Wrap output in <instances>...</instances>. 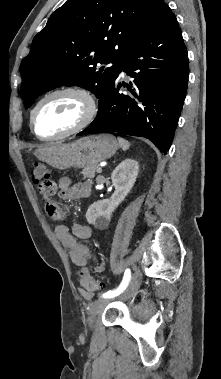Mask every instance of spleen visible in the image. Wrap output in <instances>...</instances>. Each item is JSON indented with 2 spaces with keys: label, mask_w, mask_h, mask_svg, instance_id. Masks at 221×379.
Segmentation results:
<instances>
[{
  "label": "spleen",
  "mask_w": 221,
  "mask_h": 379,
  "mask_svg": "<svg viewBox=\"0 0 221 379\" xmlns=\"http://www.w3.org/2000/svg\"><path fill=\"white\" fill-rule=\"evenodd\" d=\"M118 141H119L120 146L123 148V150H127L129 148L130 143L127 140L119 137Z\"/></svg>",
  "instance_id": "1"
}]
</instances>
